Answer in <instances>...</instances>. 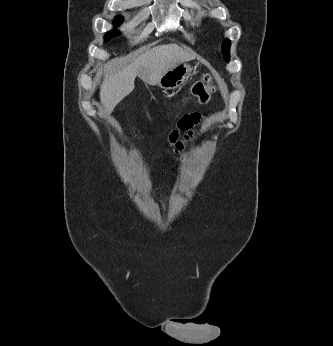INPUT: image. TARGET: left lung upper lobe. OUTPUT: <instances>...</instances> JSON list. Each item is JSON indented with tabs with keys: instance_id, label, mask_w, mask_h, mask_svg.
<instances>
[{
	"instance_id": "5c2ea615",
	"label": "left lung upper lobe",
	"mask_w": 333,
	"mask_h": 346,
	"mask_svg": "<svg viewBox=\"0 0 333 346\" xmlns=\"http://www.w3.org/2000/svg\"><path fill=\"white\" fill-rule=\"evenodd\" d=\"M230 40L226 39L222 44V54L224 56V59L228 62L230 58Z\"/></svg>"
}]
</instances>
